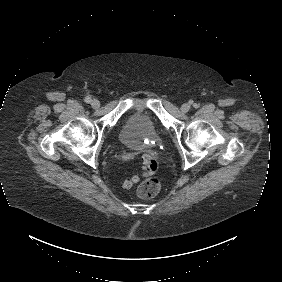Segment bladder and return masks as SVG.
I'll list each match as a JSON object with an SVG mask.
<instances>
[{
    "label": "bladder",
    "mask_w": 282,
    "mask_h": 282,
    "mask_svg": "<svg viewBox=\"0 0 282 282\" xmlns=\"http://www.w3.org/2000/svg\"><path fill=\"white\" fill-rule=\"evenodd\" d=\"M120 143L132 151H147L161 144L156 123L146 111L136 110L128 115L119 133Z\"/></svg>",
    "instance_id": "obj_1"
}]
</instances>
